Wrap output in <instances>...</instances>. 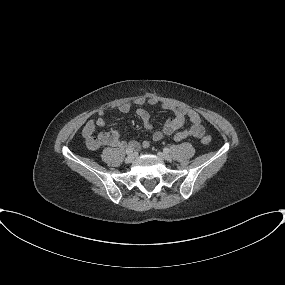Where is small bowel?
<instances>
[{
	"instance_id": "obj_1",
	"label": "small bowel",
	"mask_w": 285,
	"mask_h": 285,
	"mask_svg": "<svg viewBox=\"0 0 285 285\" xmlns=\"http://www.w3.org/2000/svg\"><path fill=\"white\" fill-rule=\"evenodd\" d=\"M145 105H160L162 109L171 111L174 116L166 120L162 130H156L153 133L154 141H161L166 135H174L176 141H184L190 137L202 138L205 134V129L202 125L200 115L191 109L183 106L174 105L168 102H160L157 98L153 97H138L130 102L121 103L117 106V110L120 113L126 114L130 112L133 106H137L136 114L141 119L144 127L147 130L153 129L150 113L144 108ZM188 119L191 126L188 129L179 130ZM114 123H110L104 111H99L95 120H89L83 127L82 134L85 138L86 145L89 149L95 150L101 145H110L117 148H132L133 150H139L141 147L148 148L150 143L144 140L141 144L137 141H124L121 138L119 130H112L110 132H102L98 136H95L96 129L98 127L112 126Z\"/></svg>"
}]
</instances>
